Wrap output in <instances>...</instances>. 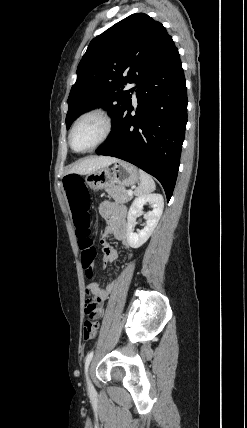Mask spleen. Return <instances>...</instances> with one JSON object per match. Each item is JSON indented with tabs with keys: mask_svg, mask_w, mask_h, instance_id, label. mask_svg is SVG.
Wrapping results in <instances>:
<instances>
[{
	"mask_svg": "<svg viewBox=\"0 0 247 428\" xmlns=\"http://www.w3.org/2000/svg\"><path fill=\"white\" fill-rule=\"evenodd\" d=\"M139 174L140 184L135 190V195L141 196L153 192L155 190V182L152 177L143 170H139Z\"/></svg>",
	"mask_w": 247,
	"mask_h": 428,
	"instance_id": "1",
	"label": "spleen"
}]
</instances>
